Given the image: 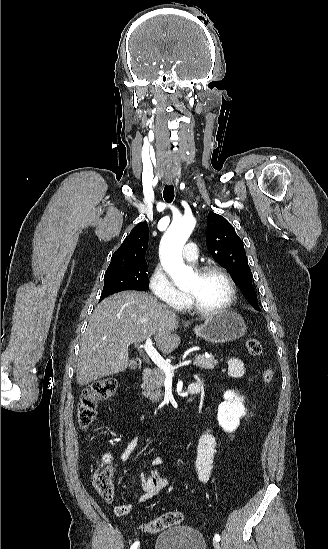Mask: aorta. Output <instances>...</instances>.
Returning <instances> with one entry per match:
<instances>
[{
  "mask_svg": "<svg viewBox=\"0 0 328 549\" xmlns=\"http://www.w3.org/2000/svg\"><path fill=\"white\" fill-rule=\"evenodd\" d=\"M193 216H183L173 220L165 232L160 247V258L165 271L176 286L187 285L194 272L187 267L182 258V249L195 227Z\"/></svg>",
  "mask_w": 328,
  "mask_h": 549,
  "instance_id": "aorta-1",
  "label": "aorta"
}]
</instances>
